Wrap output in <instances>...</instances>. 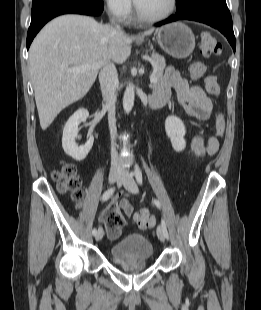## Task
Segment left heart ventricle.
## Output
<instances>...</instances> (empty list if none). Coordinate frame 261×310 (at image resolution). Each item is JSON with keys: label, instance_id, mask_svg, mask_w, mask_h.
<instances>
[{"label": "left heart ventricle", "instance_id": "1", "mask_svg": "<svg viewBox=\"0 0 261 310\" xmlns=\"http://www.w3.org/2000/svg\"><path fill=\"white\" fill-rule=\"evenodd\" d=\"M170 0H138L136 3L139 10L146 16H157L165 12Z\"/></svg>", "mask_w": 261, "mask_h": 310}]
</instances>
